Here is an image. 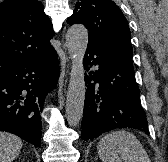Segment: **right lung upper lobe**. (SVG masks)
Segmentation results:
<instances>
[{
    "label": "right lung upper lobe",
    "instance_id": "1",
    "mask_svg": "<svg viewBox=\"0 0 168 162\" xmlns=\"http://www.w3.org/2000/svg\"><path fill=\"white\" fill-rule=\"evenodd\" d=\"M52 25L38 0L0 3V75L15 66L47 56Z\"/></svg>",
    "mask_w": 168,
    "mask_h": 162
}]
</instances>
